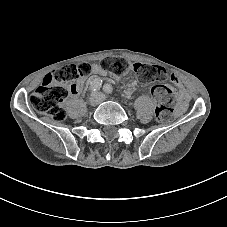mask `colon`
Masks as SVG:
<instances>
[{
    "label": "colon",
    "instance_id": "1",
    "mask_svg": "<svg viewBox=\"0 0 227 227\" xmlns=\"http://www.w3.org/2000/svg\"><path fill=\"white\" fill-rule=\"evenodd\" d=\"M101 67L115 76H122L133 71L141 80L147 82L165 80L168 73L159 65L147 63L130 64L125 59L109 58L101 63ZM92 72V65L83 62L80 64L65 65L45 76L43 82L30 96V104L34 110L51 117L55 121L65 119L66 112L63 101L69 93H75L80 81ZM155 100V116L159 122H169L172 119L177 102L173 88L163 84L154 85L151 89Z\"/></svg>",
    "mask_w": 227,
    "mask_h": 227
}]
</instances>
